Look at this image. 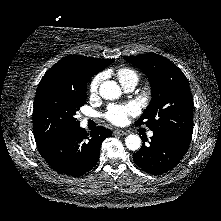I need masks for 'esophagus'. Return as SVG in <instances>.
<instances>
[{"instance_id": "obj_1", "label": "esophagus", "mask_w": 221, "mask_h": 221, "mask_svg": "<svg viewBox=\"0 0 221 221\" xmlns=\"http://www.w3.org/2000/svg\"><path fill=\"white\" fill-rule=\"evenodd\" d=\"M113 133H114L115 135H120V136L127 135V132H126V131H123V130H120V129L114 130Z\"/></svg>"}]
</instances>
